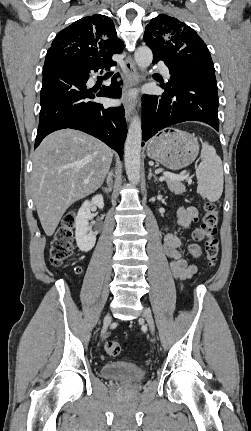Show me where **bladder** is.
<instances>
[{
  "label": "bladder",
  "mask_w": 251,
  "mask_h": 431,
  "mask_svg": "<svg viewBox=\"0 0 251 431\" xmlns=\"http://www.w3.org/2000/svg\"><path fill=\"white\" fill-rule=\"evenodd\" d=\"M102 377L123 384H133L145 379L146 371L127 361H113L104 364L100 370Z\"/></svg>",
  "instance_id": "bladder-1"
}]
</instances>
